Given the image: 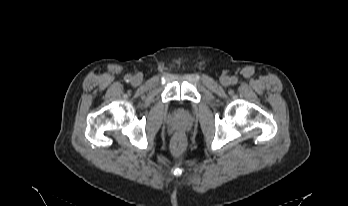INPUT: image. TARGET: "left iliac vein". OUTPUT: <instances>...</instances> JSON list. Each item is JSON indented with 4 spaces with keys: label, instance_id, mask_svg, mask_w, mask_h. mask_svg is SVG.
<instances>
[{
    "label": "left iliac vein",
    "instance_id": "4c4485c4",
    "mask_svg": "<svg viewBox=\"0 0 348 206\" xmlns=\"http://www.w3.org/2000/svg\"><path fill=\"white\" fill-rule=\"evenodd\" d=\"M220 83L223 85V86H228L230 84V78L228 76H222L220 78Z\"/></svg>",
    "mask_w": 348,
    "mask_h": 206
}]
</instances>
